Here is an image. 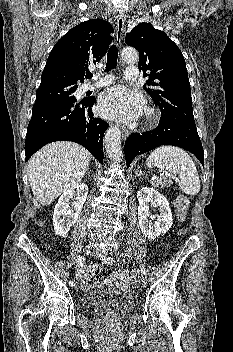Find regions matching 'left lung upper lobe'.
Here are the masks:
<instances>
[{
  "instance_id": "obj_1",
  "label": "left lung upper lobe",
  "mask_w": 233,
  "mask_h": 352,
  "mask_svg": "<svg viewBox=\"0 0 233 352\" xmlns=\"http://www.w3.org/2000/svg\"><path fill=\"white\" fill-rule=\"evenodd\" d=\"M125 42L138 50V68L148 76L144 89L161 114L194 121L186 63L178 46L148 23L134 27Z\"/></svg>"
}]
</instances>
